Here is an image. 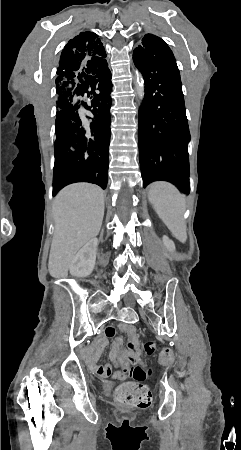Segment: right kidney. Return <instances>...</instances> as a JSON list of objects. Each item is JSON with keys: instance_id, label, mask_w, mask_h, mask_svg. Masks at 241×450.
Masks as SVG:
<instances>
[{"instance_id": "ca27d5eb", "label": "right kidney", "mask_w": 241, "mask_h": 450, "mask_svg": "<svg viewBox=\"0 0 241 450\" xmlns=\"http://www.w3.org/2000/svg\"><path fill=\"white\" fill-rule=\"evenodd\" d=\"M97 246V238H92V240H89V242H87V244L79 250L78 254H76L69 266L71 276H76V278L90 276L91 272L94 270L96 262Z\"/></svg>"}]
</instances>
